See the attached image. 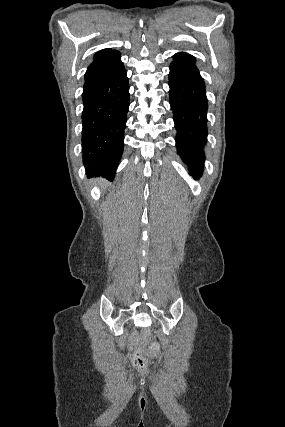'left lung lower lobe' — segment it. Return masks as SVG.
I'll return each instance as SVG.
<instances>
[{
  "mask_svg": "<svg viewBox=\"0 0 285 427\" xmlns=\"http://www.w3.org/2000/svg\"><path fill=\"white\" fill-rule=\"evenodd\" d=\"M169 96L177 135V152L195 179L204 169V146L207 142V108L205 84L195 66V57L176 53L170 65Z\"/></svg>",
  "mask_w": 285,
  "mask_h": 427,
  "instance_id": "left-lung-lower-lobe-1",
  "label": "left lung lower lobe"
}]
</instances>
